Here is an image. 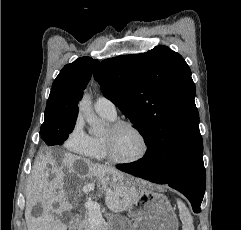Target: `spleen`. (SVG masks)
I'll return each mask as SVG.
<instances>
[{"label": "spleen", "mask_w": 241, "mask_h": 230, "mask_svg": "<svg viewBox=\"0 0 241 230\" xmlns=\"http://www.w3.org/2000/svg\"><path fill=\"white\" fill-rule=\"evenodd\" d=\"M179 213H180V219L182 221V230H194L193 225V218L186 207V205L181 201H177Z\"/></svg>", "instance_id": "3e777b00"}]
</instances>
